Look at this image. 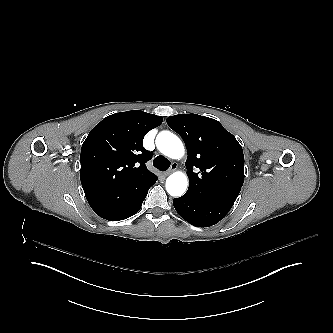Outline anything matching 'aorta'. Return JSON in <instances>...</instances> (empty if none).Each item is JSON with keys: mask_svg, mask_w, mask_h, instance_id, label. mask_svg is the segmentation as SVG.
Masks as SVG:
<instances>
[{"mask_svg": "<svg viewBox=\"0 0 333 333\" xmlns=\"http://www.w3.org/2000/svg\"><path fill=\"white\" fill-rule=\"evenodd\" d=\"M163 136V132L159 133L156 139L158 150L171 159H180L184 156V146L181 140L173 133H165L159 140L158 137ZM188 187V180L182 172H175L166 180V190L171 196H182Z\"/></svg>", "mask_w": 333, "mask_h": 333, "instance_id": "aorta-1", "label": "aorta"}]
</instances>
